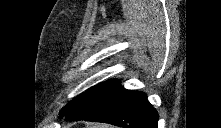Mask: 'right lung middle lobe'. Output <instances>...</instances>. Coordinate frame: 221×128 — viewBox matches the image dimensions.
<instances>
[{
    "instance_id": "1",
    "label": "right lung middle lobe",
    "mask_w": 221,
    "mask_h": 128,
    "mask_svg": "<svg viewBox=\"0 0 221 128\" xmlns=\"http://www.w3.org/2000/svg\"><path fill=\"white\" fill-rule=\"evenodd\" d=\"M120 85V81L117 79L109 80L107 82H103L99 85L94 86L93 88H90L85 93L79 95L74 100L69 102L60 113V116L65 115L68 112H72L76 110L77 108L86 106L88 104H91L107 94L111 93L113 90H115Z\"/></svg>"
}]
</instances>
